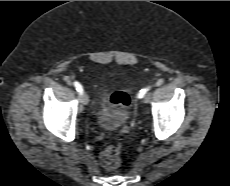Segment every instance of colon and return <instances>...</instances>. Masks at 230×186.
Wrapping results in <instances>:
<instances>
[{
    "label": "colon",
    "instance_id": "1",
    "mask_svg": "<svg viewBox=\"0 0 230 186\" xmlns=\"http://www.w3.org/2000/svg\"><path fill=\"white\" fill-rule=\"evenodd\" d=\"M110 103L113 106H121L124 109H128L130 107V97L124 91H116L111 95ZM121 132L127 133L128 127L124 126ZM100 161L106 169L114 170L118 168L122 162L121 147L119 145L106 147L101 152Z\"/></svg>",
    "mask_w": 230,
    "mask_h": 186
}]
</instances>
